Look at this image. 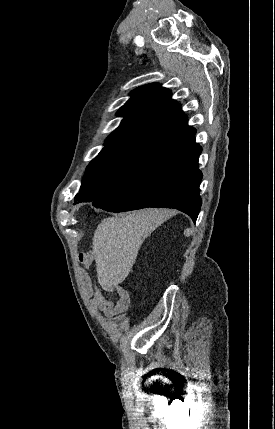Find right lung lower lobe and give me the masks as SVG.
<instances>
[{"label": "right lung lower lobe", "instance_id": "obj_1", "mask_svg": "<svg viewBox=\"0 0 275 429\" xmlns=\"http://www.w3.org/2000/svg\"><path fill=\"white\" fill-rule=\"evenodd\" d=\"M201 147L194 135L145 161L139 169L111 192L92 201L110 212L146 207L176 208L195 222L201 207L198 169Z\"/></svg>", "mask_w": 275, "mask_h": 429}]
</instances>
